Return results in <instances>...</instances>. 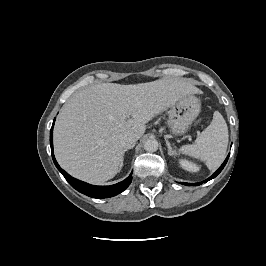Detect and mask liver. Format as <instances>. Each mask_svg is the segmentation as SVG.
<instances>
[{
  "label": "liver",
  "mask_w": 266,
  "mask_h": 266,
  "mask_svg": "<svg viewBox=\"0 0 266 266\" xmlns=\"http://www.w3.org/2000/svg\"><path fill=\"white\" fill-rule=\"evenodd\" d=\"M198 93L185 79L121 85L97 84L72 95L54 127V152L60 166L80 180L100 184L120 171L122 137L141 138L146 123L182 97Z\"/></svg>",
  "instance_id": "1"
}]
</instances>
